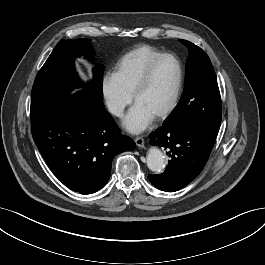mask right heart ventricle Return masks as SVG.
<instances>
[{"mask_svg":"<svg viewBox=\"0 0 265 265\" xmlns=\"http://www.w3.org/2000/svg\"><path fill=\"white\" fill-rule=\"evenodd\" d=\"M162 52L149 45L137 46L126 52L116 63L112 75L121 88L131 96L147 64Z\"/></svg>","mask_w":265,"mask_h":265,"instance_id":"right-heart-ventricle-1","label":"right heart ventricle"}]
</instances>
